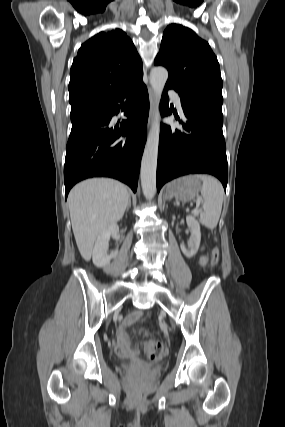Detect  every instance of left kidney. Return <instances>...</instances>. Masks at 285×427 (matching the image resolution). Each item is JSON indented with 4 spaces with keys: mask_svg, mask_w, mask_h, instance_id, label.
<instances>
[{
    "mask_svg": "<svg viewBox=\"0 0 285 427\" xmlns=\"http://www.w3.org/2000/svg\"><path fill=\"white\" fill-rule=\"evenodd\" d=\"M186 222L191 231L190 241L187 248L184 246V244H181L180 247L183 254L186 257L191 258L197 253L199 249L201 241L200 224L193 216H187Z\"/></svg>",
    "mask_w": 285,
    "mask_h": 427,
    "instance_id": "obj_1",
    "label": "left kidney"
}]
</instances>
